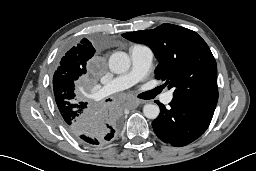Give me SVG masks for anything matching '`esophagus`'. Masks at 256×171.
I'll use <instances>...</instances> for the list:
<instances>
[{
  "label": "esophagus",
  "mask_w": 256,
  "mask_h": 171,
  "mask_svg": "<svg viewBox=\"0 0 256 171\" xmlns=\"http://www.w3.org/2000/svg\"><path fill=\"white\" fill-rule=\"evenodd\" d=\"M142 103H143V101H141V100H131V101L127 102L126 105L129 109H135Z\"/></svg>",
  "instance_id": "obj_1"
}]
</instances>
